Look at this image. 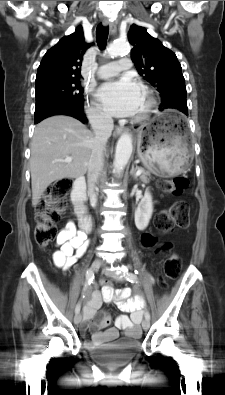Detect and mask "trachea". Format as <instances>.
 <instances>
[{
    "label": "trachea",
    "mask_w": 225,
    "mask_h": 395,
    "mask_svg": "<svg viewBox=\"0 0 225 395\" xmlns=\"http://www.w3.org/2000/svg\"><path fill=\"white\" fill-rule=\"evenodd\" d=\"M108 34H109V27L102 26V24H99L97 26L96 39L98 46L100 47L101 50H103L106 46Z\"/></svg>",
    "instance_id": "1"
}]
</instances>
